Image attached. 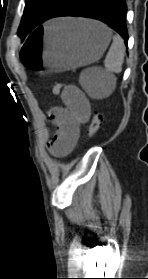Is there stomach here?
Instances as JSON below:
<instances>
[{"mask_svg": "<svg viewBox=\"0 0 148 279\" xmlns=\"http://www.w3.org/2000/svg\"><path fill=\"white\" fill-rule=\"evenodd\" d=\"M39 34H28L22 48V72L31 78L42 73L66 71L97 61L111 40V31L104 25L87 20L65 19L52 24H36Z\"/></svg>", "mask_w": 148, "mask_h": 279, "instance_id": "1", "label": "stomach"}]
</instances>
